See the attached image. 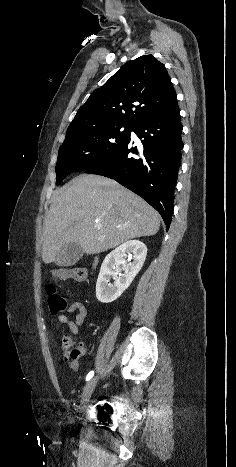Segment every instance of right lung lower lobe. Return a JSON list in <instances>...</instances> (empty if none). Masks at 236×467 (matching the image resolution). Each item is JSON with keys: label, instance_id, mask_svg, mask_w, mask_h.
Here are the masks:
<instances>
[{"label": "right lung lower lobe", "instance_id": "1", "mask_svg": "<svg viewBox=\"0 0 236 467\" xmlns=\"http://www.w3.org/2000/svg\"><path fill=\"white\" fill-rule=\"evenodd\" d=\"M182 129L176 101L133 128L142 139L140 150L132 146L129 138L114 154L85 173L114 179L141 196L161 214L168 230L181 165Z\"/></svg>", "mask_w": 236, "mask_h": 467}]
</instances>
